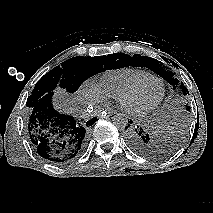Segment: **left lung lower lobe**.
I'll use <instances>...</instances> for the list:
<instances>
[{"instance_id": "obj_1", "label": "left lung lower lobe", "mask_w": 213, "mask_h": 213, "mask_svg": "<svg viewBox=\"0 0 213 213\" xmlns=\"http://www.w3.org/2000/svg\"><path fill=\"white\" fill-rule=\"evenodd\" d=\"M129 123L131 124L132 121L130 120ZM126 129V141L134 152L149 158H159L165 155L164 145L159 133L139 125L126 127Z\"/></svg>"}]
</instances>
